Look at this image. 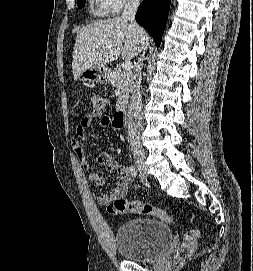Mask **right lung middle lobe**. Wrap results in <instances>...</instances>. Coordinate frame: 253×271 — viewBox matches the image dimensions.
I'll return each instance as SVG.
<instances>
[{
    "label": "right lung middle lobe",
    "instance_id": "obj_1",
    "mask_svg": "<svg viewBox=\"0 0 253 271\" xmlns=\"http://www.w3.org/2000/svg\"><path fill=\"white\" fill-rule=\"evenodd\" d=\"M78 1V8L84 7V0H77Z\"/></svg>",
    "mask_w": 253,
    "mask_h": 271
}]
</instances>
